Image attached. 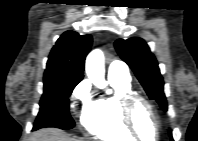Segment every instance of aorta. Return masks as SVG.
<instances>
[{"mask_svg":"<svg viewBox=\"0 0 198 141\" xmlns=\"http://www.w3.org/2000/svg\"><path fill=\"white\" fill-rule=\"evenodd\" d=\"M105 58L104 54L100 49H95L89 53L86 58L85 71L88 78L93 84L99 88L104 89L107 85L105 81ZM111 91L108 90L107 94Z\"/></svg>","mask_w":198,"mask_h":141,"instance_id":"762f6f07","label":"aorta"}]
</instances>
